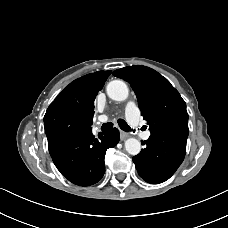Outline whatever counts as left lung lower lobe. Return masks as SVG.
<instances>
[{
  "label": "left lung lower lobe",
  "mask_w": 228,
  "mask_h": 228,
  "mask_svg": "<svg viewBox=\"0 0 228 228\" xmlns=\"http://www.w3.org/2000/svg\"><path fill=\"white\" fill-rule=\"evenodd\" d=\"M141 152L133 157L140 177L151 184L168 180L182 163L186 152V141L164 133L151 134Z\"/></svg>",
  "instance_id": "0a47b994"
}]
</instances>
